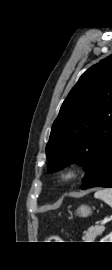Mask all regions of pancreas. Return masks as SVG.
I'll list each match as a JSON object with an SVG mask.
<instances>
[{"mask_svg": "<svg viewBox=\"0 0 112 270\" xmlns=\"http://www.w3.org/2000/svg\"><path fill=\"white\" fill-rule=\"evenodd\" d=\"M104 230V226L90 227L87 231L84 232L82 239L84 242H94L95 238L101 235Z\"/></svg>", "mask_w": 112, "mask_h": 270, "instance_id": "cf45deb5", "label": "pancreas"}]
</instances>
